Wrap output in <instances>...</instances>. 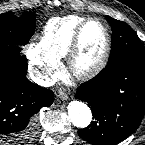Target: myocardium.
Instances as JSON below:
<instances>
[{"label":"myocardium","mask_w":145,"mask_h":145,"mask_svg":"<svg viewBox=\"0 0 145 145\" xmlns=\"http://www.w3.org/2000/svg\"><path fill=\"white\" fill-rule=\"evenodd\" d=\"M91 23H96L101 27L104 34V47L100 57L94 64L85 68H80L77 65V61L82 51V35L85 28ZM110 52L111 37L108 28L102 21L94 18H88L78 26L74 34L69 52L66 56V68L69 74L74 78L78 80H88L99 74L104 69L108 62Z\"/></svg>","instance_id":"obj_1"}]
</instances>
